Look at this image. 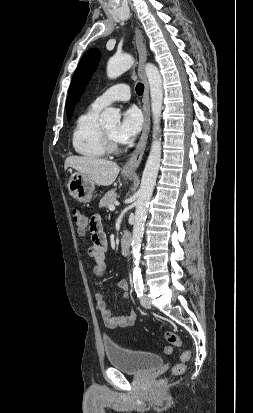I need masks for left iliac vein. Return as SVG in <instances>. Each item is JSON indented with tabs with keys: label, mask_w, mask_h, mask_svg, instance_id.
<instances>
[{
	"label": "left iliac vein",
	"mask_w": 253,
	"mask_h": 413,
	"mask_svg": "<svg viewBox=\"0 0 253 413\" xmlns=\"http://www.w3.org/2000/svg\"><path fill=\"white\" fill-rule=\"evenodd\" d=\"M141 305H142L144 308H147V309L151 308L150 299H149V297H148L146 294H144L143 297L141 298Z\"/></svg>",
	"instance_id": "obj_1"
}]
</instances>
